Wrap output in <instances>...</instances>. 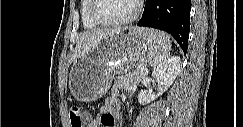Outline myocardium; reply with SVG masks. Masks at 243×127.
I'll return each instance as SVG.
<instances>
[{
    "instance_id": "myocardium-1",
    "label": "myocardium",
    "mask_w": 243,
    "mask_h": 127,
    "mask_svg": "<svg viewBox=\"0 0 243 127\" xmlns=\"http://www.w3.org/2000/svg\"><path fill=\"white\" fill-rule=\"evenodd\" d=\"M134 1H135V9L132 14H130L127 17L118 19V20H106V19L101 18L99 16V14L97 13L98 0H91V3H92L91 4V17L96 23H98L99 25H103V26H120V25H125L128 23H131L138 18V16L140 15V13L142 11V5H143L142 0H134Z\"/></svg>"
}]
</instances>
